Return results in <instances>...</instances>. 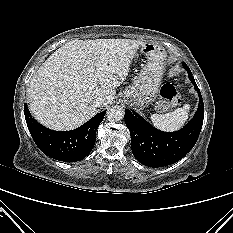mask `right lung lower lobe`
Instances as JSON below:
<instances>
[{
	"mask_svg": "<svg viewBox=\"0 0 233 233\" xmlns=\"http://www.w3.org/2000/svg\"><path fill=\"white\" fill-rule=\"evenodd\" d=\"M24 111L28 129L36 145L47 156L63 162L79 161L91 152L96 141V130L106 114V111L98 113L71 131H54L39 124L26 105Z\"/></svg>",
	"mask_w": 233,
	"mask_h": 233,
	"instance_id": "1",
	"label": "right lung lower lobe"
}]
</instances>
